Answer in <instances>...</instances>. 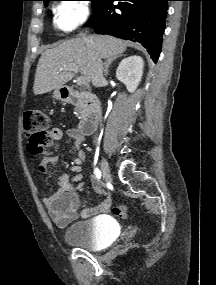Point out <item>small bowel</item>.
Masks as SVG:
<instances>
[{"mask_svg":"<svg viewBox=\"0 0 216 285\" xmlns=\"http://www.w3.org/2000/svg\"><path fill=\"white\" fill-rule=\"evenodd\" d=\"M66 134L73 140L76 148V157L74 159L73 176L61 173L58 177V189L43 199V203L48 211L51 220L59 227H66L79 216L88 218L98 213L107 212L111 206V199L106 196L104 200L95 207H89L79 211L80 201L75 189V184L82 180L79 173L80 166L86 158V153L81 149L85 141V134L78 128H70ZM64 132L60 128H53L48 134L47 146L62 139ZM57 161L54 157H47L39 164V171L46 173L48 166H56Z\"/></svg>","mask_w":216,"mask_h":285,"instance_id":"obj_1","label":"small bowel"}]
</instances>
